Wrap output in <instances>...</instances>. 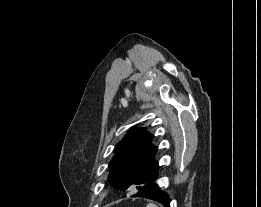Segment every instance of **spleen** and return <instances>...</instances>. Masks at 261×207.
Masks as SVG:
<instances>
[{"instance_id":"1","label":"spleen","mask_w":261,"mask_h":207,"mask_svg":"<svg viewBox=\"0 0 261 207\" xmlns=\"http://www.w3.org/2000/svg\"><path fill=\"white\" fill-rule=\"evenodd\" d=\"M146 207H157V206L153 203H149Z\"/></svg>"}]
</instances>
